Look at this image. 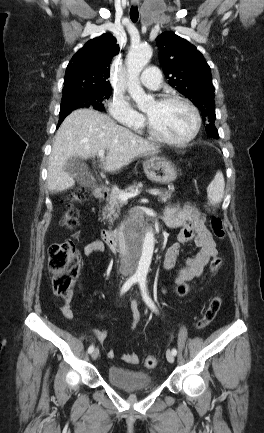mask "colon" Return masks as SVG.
Masks as SVG:
<instances>
[{"label": "colon", "mask_w": 264, "mask_h": 433, "mask_svg": "<svg viewBox=\"0 0 264 433\" xmlns=\"http://www.w3.org/2000/svg\"><path fill=\"white\" fill-rule=\"evenodd\" d=\"M88 196L85 188H77L72 193V200L81 202ZM208 211L212 213L209 220L210 228L214 236L222 239L225 236L222 219L214 214L212 206L208 207ZM78 213L72 204H67V209L62 219V225L73 229L77 224ZM222 266V258L214 256L209 265L211 272H215ZM80 256L75 248L73 241L66 240L62 242L52 243L49 247V269L52 273V285L54 293L62 298H66L70 294V287L79 274ZM190 292V285L186 282L178 283L175 287V295L184 297ZM222 300L219 296H215L209 302L204 314L197 322L199 330L208 326L216 317L220 310ZM144 365L147 368H155L158 365V360L154 356H146Z\"/></svg>", "instance_id": "5ec220e1"}]
</instances>
